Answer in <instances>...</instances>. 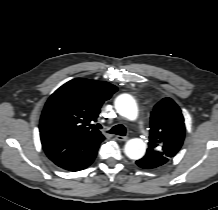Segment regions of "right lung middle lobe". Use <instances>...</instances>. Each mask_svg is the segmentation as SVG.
Segmentation results:
<instances>
[{"instance_id":"right-lung-middle-lobe-1","label":"right lung middle lobe","mask_w":218,"mask_h":210,"mask_svg":"<svg viewBox=\"0 0 218 210\" xmlns=\"http://www.w3.org/2000/svg\"><path fill=\"white\" fill-rule=\"evenodd\" d=\"M58 119L51 113H42L40 119V131H56L58 129Z\"/></svg>"}]
</instances>
